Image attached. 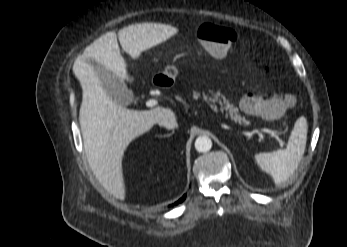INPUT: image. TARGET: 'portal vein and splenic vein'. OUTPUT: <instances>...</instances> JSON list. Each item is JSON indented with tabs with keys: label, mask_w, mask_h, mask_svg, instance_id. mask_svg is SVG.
Returning a JSON list of instances; mask_svg holds the SVG:
<instances>
[{
	"label": "portal vein and splenic vein",
	"mask_w": 347,
	"mask_h": 247,
	"mask_svg": "<svg viewBox=\"0 0 347 247\" xmlns=\"http://www.w3.org/2000/svg\"><path fill=\"white\" fill-rule=\"evenodd\" d=\"M157 104H158V102L155 99H150V100H148L146 102V106L147 107H153V106H156ZM261 131L265 132V133H267V134H269L272 137H275L277 139V135H276V133L273 130H271V129H263ZM258 133H260V132H258ZM262 140H263V136L260 135V141H262Z\"/></svg>",
	"instance_id": "18ae733b"
}]
</instances>
